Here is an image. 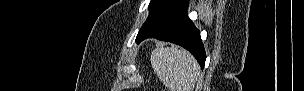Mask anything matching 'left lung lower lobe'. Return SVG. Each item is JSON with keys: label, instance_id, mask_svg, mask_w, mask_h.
<instances>
[{"label": "left lung lower lobe", "instance_id": "0a47b994", "mask_svg": "<svg viewBox=\"0 0 304 91\" xmlns=\"http://www.w3.org/2000/svg\"><path fill=\"white\" fill-rule=\"evenodd\" d=\"M188 0H170L151 28L145 32L138 43L146 38L175 43L189 50L204 68L206 54L200 31L187 15Z\"/></svg>", "mask_w": 304, "mask_h": 91}]
</instances>
